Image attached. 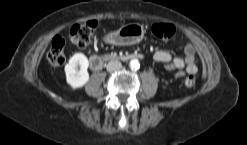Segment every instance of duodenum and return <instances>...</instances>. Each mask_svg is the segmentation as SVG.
Segmentation results:
<instances>
[{"label":"duodenum","instance_id":"duodenum-1","mask_svg":"<svg viewBox=\"0 0 247 145\" xmlns=\"http://www.w3.org/2000/svg\"><path fill=\"white\" fill-rule=\"evenodd\" d=\"M143 56L140 53H129L124 55L116 56L115 60L129 61L133 59H141ZM89 65L92 70L98 71L103 66V59L98 55H93L89 58Z\"/></svg>","mask_w":247,"mask_h":145}]
</instances>
